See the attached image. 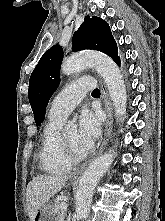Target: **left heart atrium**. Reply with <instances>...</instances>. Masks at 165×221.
Here are the masks:
<instances>
[{"instance_id": "left-heart-atrium-1", "label": "left heart atrium", "mask_w": 165, "mask_h": 221, "mask_svg": "<svg viewBox=\"0 0 165 221\" xmlns=\"http://www.w3.org/2000/svg\"><path fill=\"white\" fill-rule=\"evenodd\" d=\"M78 122V140L86 150H89L100 137V119L90 110H83L79 115Z\"/></svg>"}]
</instances>
